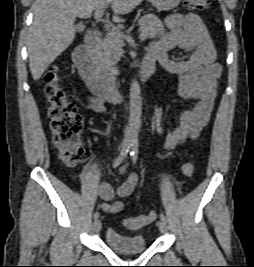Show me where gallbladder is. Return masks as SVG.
I'll list each match as a JSON object with an SVG mask.
<instances>
[{
  "mask_svg": "<svg viewBox=\"0 0 254 267\" xmlns=\"http://www.w3.org/2000/svg\"><path fill=\"white\" fill-rule=\"evenodd\" d=\"M83 28H84V26H83V24H81V23H79V24H77V25L75 26V29H76L77 31H81Z\"/></svg>",
  "mask_w": 254,
  "mask_h": 267,
  "instance_id": "1",
  "label": "gallbladder"
}]
</instances>
